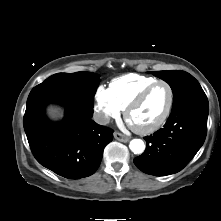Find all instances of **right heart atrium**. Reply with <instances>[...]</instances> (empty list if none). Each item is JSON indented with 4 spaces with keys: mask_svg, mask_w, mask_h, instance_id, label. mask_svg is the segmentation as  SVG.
<instances>
[{
    "mask_svg": "<svg viewBox=\"0 0 221 221\" xmlns=\"http://www.w3.org/2000/svg\"><path fill=\"white\" fill-rule=\"evenodd\" d=\"M94 110L97 121L106 124L112 118L119 117L121 109L114 101L109 88L99 86L94 96Z\"/></svg>",
    "mask_w": 221,
    "mask_h": 221,
    "instance_id": "right-heart-atrium-1",
    "label": "right heart atrium"
}]
</instances>
